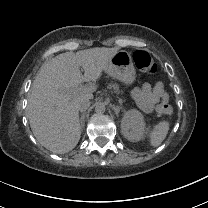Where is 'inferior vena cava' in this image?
<instances>
[{
    "instance_id": "1",
    "label": "inferior vena cava",
    "mask_w": 208,
    "mask_h": 208,
    "mask_svg": "<svg viewBox=\"0 0 208 208\" xmlns=\"http://www.w3.org/2000/svg\"><path fill=\"white\" fill-rule=\"evenodd\" d=\"M78 110L81 112L86 111L90 106L89 98L87 97H79L77 101Z\"/></svg>"
}]
</instances>
